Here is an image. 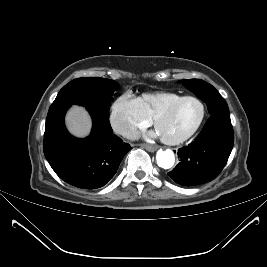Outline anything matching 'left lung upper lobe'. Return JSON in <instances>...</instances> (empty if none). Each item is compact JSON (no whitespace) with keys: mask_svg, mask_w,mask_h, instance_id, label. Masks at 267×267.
<instances>
[{"mask_svg":"<svg viewBox=\"0 0 267 267\" xmlns=\"http://www.w3.org/2000/svg\"><path fill=\"white\" fill-rule=\"evenodd\" d=\"M181 82L187 89L191 90L198 98L207 104L211 115L229 113L227 103L209 83L199 79H186Z\"/></svg>","mask_w":267,"mask_h":267,"instance_id":"left-lung-upper-lobe-1","label":"left lung upper lobe"}]
</instances>
